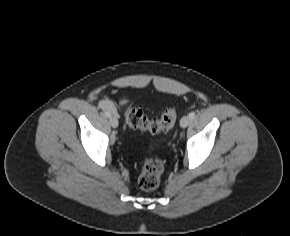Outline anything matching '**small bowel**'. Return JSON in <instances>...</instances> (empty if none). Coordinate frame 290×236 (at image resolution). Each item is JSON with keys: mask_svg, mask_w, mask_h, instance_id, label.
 I'll return each mask as SVG.
<instances>
[{"mask_svg": "<svg viewBox=\"0 0 290 236\" xmlns=\"http://www.w3.org/2000/svg\"><path fill=\"white\" fill-rule=\"evenodd\" d=\"M100 107L106 110H109L111 112H115V108L113 106V103L109 100H103L100 103Z\"/></svg>", "mask_w": 290, "mask_h": 236, "instance_id": "obj_1", "label": "small bowel"}]
</instances>
